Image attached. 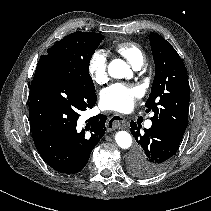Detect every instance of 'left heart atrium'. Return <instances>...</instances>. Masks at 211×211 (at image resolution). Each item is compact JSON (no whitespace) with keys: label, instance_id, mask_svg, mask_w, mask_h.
Segmentation results:
<instances>
[{"label":"left heart atrium","instance_id":"1","mask_svg":"<svg viewBox=\"0 0 211 211\" xmlns=\"http://www.w3.org/2000/svg\"><path fill=\"white\" fill-rule=\"evenodd\" d=\"M141 96V90L137 86L115 83L101 92L100 102L107 110L126 112L130 110Z\"/></svg>","mask_w":211,"mask_h":211}]
</instances>
